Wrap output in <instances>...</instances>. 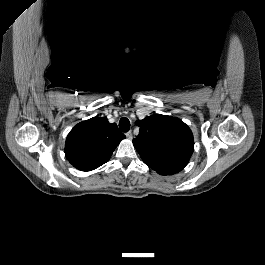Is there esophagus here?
Listing matches in <instances>:
<instances>
[{
	"label": "esophagus",
	"instance_id": "34e87169",
	"mask_svg": "<svg viewBox=\"0 0 265 265\" xmlns=\"http://www.w3.org/2000/svg\"><path fill=\"white\" fill-rule=\"evenodd\" d=\"M126 137H127L129 140H131V139H132V132H131V131H128V132L126 133Z\"/></svg>",
	"mask_w": 265,
	"mask_h": 265
}]
</instances>
